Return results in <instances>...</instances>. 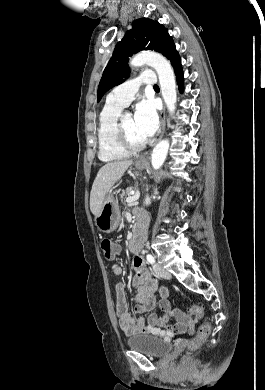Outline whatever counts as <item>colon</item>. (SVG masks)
Instances as JSON below:
<instances>
[{"label":"colon","mask_w":265,"mask_h":390,"mask_svg":"<svg viewBox=\"0 0 265 390\" xmlns=\"http://www.w3.org/2000/svg\"><path fill=\"white\" fill-rule=\"evenodd\" d=\"M100 249L103 254V258L106 262H110L115 258V245L113 242L108 239L104 238L100 242ZM190 312L196 317V318H201L203 316V309L200 306L193 305L190 308ZM211 331V326L209 323H204L197 332V335L191 342L192 348H197L201 343H203L207 337L209 336Z\"/></svg>","instance_id":"1"}]
</instances>
